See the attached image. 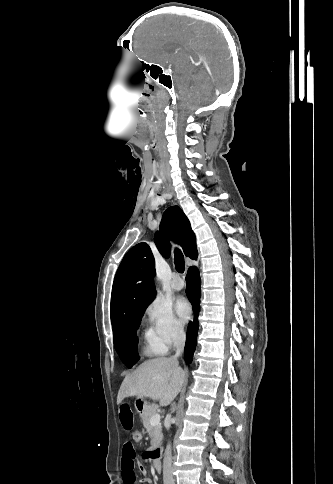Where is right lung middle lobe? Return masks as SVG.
I'll list each match as a JSON object with an SVG mask.
<instances>
[{
  "label": "right lung middle lobe",
  "instance_id": "right-lung-middle-lobe-1",
  "mask_svg": "<svg viewBox=\"0 0 333 484\" xmlns=\"http://www.w3.org/2000/svg\"><path fill=\"white\" fill-rule=\"evenodd\" d=\"M144 312L145 310H141L129 315L114 334L115 349L128 368H131L139 360L136 330Z\"/></svg>",
  "mask_w": 333,
  "mask_h": 484
}]
</instances>
